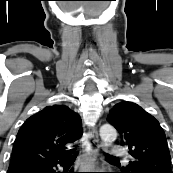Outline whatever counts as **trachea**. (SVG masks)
<instances>
[{
	"label": "trachea",
	"instance_id": "obj_1",
	"mask_svg": "<svg viewBox=\"0 0 173 173\" xmlns=\"http://www.w3.org/2000/svg\"><path fill=\"white\" fill-rule=\"evenodd\" d=\"M72 152H74V150H72ZM107 156H109L111 158H114V157H112L111 155H108V154H107ZM76 157H77V154H74L71 158H69V161H74L76 159Z\"/></svg>",
	"mask_w": 173,
	"mask_h": 173
}]
</instances>
